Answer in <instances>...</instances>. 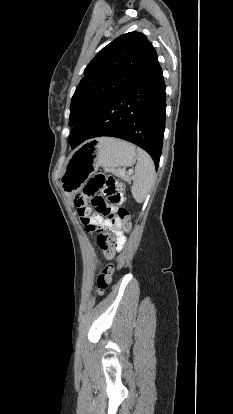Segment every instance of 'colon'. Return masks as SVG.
Instances as JSON below:
<instances>
[{
    "instance_id": "colon-1",
    "label": "colon",
    "mask_w": 233,
    "mask_h": 414,
    "mask_svg": "<svg viewBox=\"0 0 233 414\" xmlns=\"http://www.w3.org/2000/svg\"><path fill=\"white\" fill-rule=\"evenodd\" d=\"M123 184L117 178L98 173L94 175L86 184L83 192L74 198V203L84 213V207L87 204V200L91 198L92 205L108 218L112 217L111 205L119 204L122 200ZM117 217L122 221L125 232H129L131 229V218L129 211L124 207H119L117 210ZM84 222L87 221L86 217L82 218ZM89 230H93V226L86 225ZM98 244L102 249L105 257L111 259L115 253L116 239L109 232H104L98 236ZM113 267L108 264L103 266L97 276L96 282L99 293H102L104 289L112 280Z\"/></svg>"
}]
</instances>
